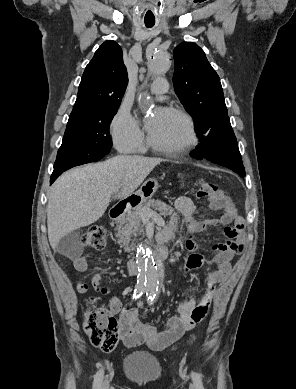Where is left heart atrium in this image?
<instances>
[{"instance_id": "left-heart-atrium-1", "label": "left heart atrium", "mask_w": 296, "mask_h": 389, "mask_svg": "<svg viewBox=\"0 0 296 389\" xmlns=\"http://www.w3.org/2000/svg\"><path fill=\"white\" fill-rule=\"evenodd\" d=\"M165 111H166L165 109H158L154 112V114L151 117L147 119L146 127L149 133L156 128L157 124L159 123Z\"/></svg>"}]
</instances>
